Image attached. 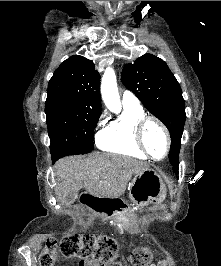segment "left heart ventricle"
I'll return each instance as SVG.
<instances>
[{
    "label": "left heart ventricle",
    "mask_w": 221,
    "mask_h": 266,
    "mask_svg": "<svg viewBox=\"0 0 221 266\" xmlns=\"http://www.w3.org/2000/svg\"><path fill=\"white\" fill-rule=\"evenodd\" d=\"M145 144L155 158H161L166 149V141L162 131L154 123H149L144 131Z\"/></svg>",
    "instance_id": "left-heart-ventricle-1"
}]
</instances>
